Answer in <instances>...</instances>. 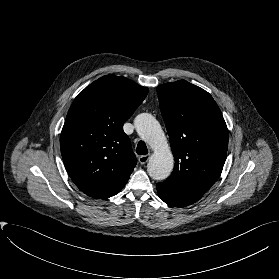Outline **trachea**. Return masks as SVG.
Here are the masks:
<instances>
[{"label":"trachea","instance_id":"trachea-1","mask_svg":"<svg viewBox=\"0 0 279 279\" xmlns=\"http://www.w3.org/2000/svg\"><path fill=\"white\" fill-rule=\"evenodd\" d=\"M136 152H137L138 155L148 154L147 146L143 141L138 142Z\"/></svg>","mask_w":279,"mask_h":279}]
</instances>
